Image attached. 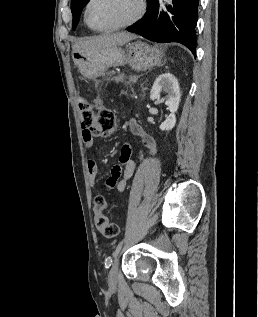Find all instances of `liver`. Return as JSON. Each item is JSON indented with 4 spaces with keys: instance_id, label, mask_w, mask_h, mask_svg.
I'll return each mask as SVG.
<instances>
[{
    "instance_id": "1",
    "label": "liver",
    "mask_w": 258,
    "mask_h": 317,
    "mask_svg": "<svg viewBox=\"0 0 258 317\" xmlns=\"http://www.w3.org/2000/svg\"><path fill=\"white\" fill-rule=\"evenodd\" d=\"M137 38L136 34L131 32H103L99 36H85V38H77L72 44L73 50H96V48H104V46H119L125 44L129 40Z\"/></svg>"
}]
</instances>
